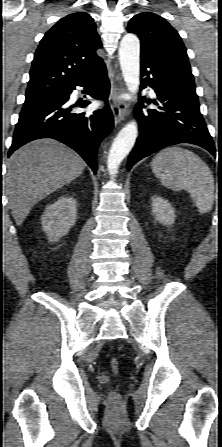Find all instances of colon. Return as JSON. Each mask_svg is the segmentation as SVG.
I'll return each mask as SVG.
<instances>
[{"mask_svg":"<svg viewBox=\"0 0 222 447\" xmlns=\"http://www.w3.org/2000/svg\"><path fill=\"white\" fill-rule=\"evenodd\" d=\"M110 365H111V369L114 373L119 372V363L116 359L111 360ZM109 400L111 401V403L119 402L120 401L119 393H117L116 391L111 392L109 395Z\"/></svg>","mask_w":222,"mask_h":447,"instance_id":"obj_1","label":"colon"}]
</instances>
